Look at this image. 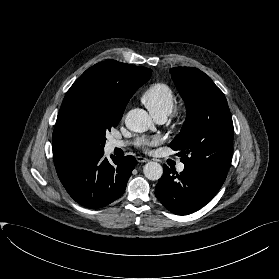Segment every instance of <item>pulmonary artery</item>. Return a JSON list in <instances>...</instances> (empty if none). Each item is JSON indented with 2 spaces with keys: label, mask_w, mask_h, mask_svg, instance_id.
Masks as SVG:
<instances>
[{
  "label": "pulmonary artery",
  "mask_w": 279,
  "mask_h": 279,
  "mask_svg": "<svg viewBox=\"0 0 279 279\" xmlns=\"http://www.w3.org/2000/svg\"><path fill=\"white\" fill-rule=\"evenodd\" d=\"M167 116L166 115H159L156 116L155 119L159 122V123H163L166 120ZM127 145L126 142L123 141H118V140H112L110 141V146L111 148H121V147H125ZM185 168V165L183 163H179L177 165V170L178 172H182Z\"/></svg>",
  "instance_id": "e3ab8cb5"
}]
</instances>
